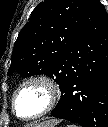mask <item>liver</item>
<instances>
[{
  "instance_id": "1",
  "label": "liver",
  "mask_w": 108,
  "mask_h": 127,
  "mask_svg": "<svg viewBox=\"0 0 108 127\" xmlns=\"http://www.w3.org/2000/svg\"><path fill=\"white\" fill-rule=\"evenodd\" d=\"M58 121L57 120H48V121H43V122H41V123H36V124H34V125H29V126H27V127H34V126H37V125H48V124H55V123H57Z\"/></svg>"
}]
</instances>
